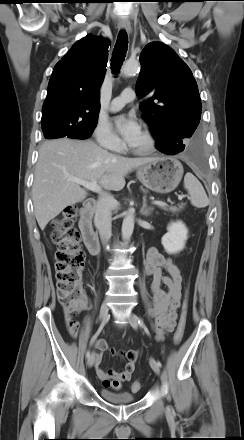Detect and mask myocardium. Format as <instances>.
Segmentation results:
<instances>
[{"instance_id":"myocardium-1","label":"myocardium","mask_w":244,"mask_h":440,"mask_svg":"<svg viewBox=\"0 0 244 440\" xmlns=\"http://www.w3.org/2000/svg\"><path fill=\"white\" fill-rule=\"evenodd\" d=\"M141 133L145 140L144 144L140 147L130 146L129 149L136 154H148L153 152L156 148V138L153 132L149 128L144 127Z\"/></svg>"}]
</instances>
